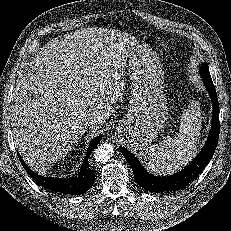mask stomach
<instances>
[{"label":"stomach","mask_w":231,"mask_h":231,"mask_svg":"<svg viewBox=\"0 0 231 231\" xmlns=\"http://www.w3.org/2000/svg\"><path fill=\"white\" fill-rule=\"evenodd\" d=\"M131 81L130 106L118 133L133 149H143L156 140L167 120L164 72L157 53L140 48L128 58Z\"/></svg>","instance_id":"1"}]
</instances>
